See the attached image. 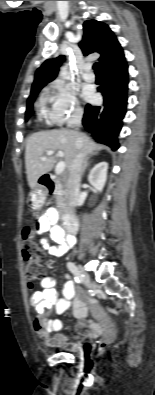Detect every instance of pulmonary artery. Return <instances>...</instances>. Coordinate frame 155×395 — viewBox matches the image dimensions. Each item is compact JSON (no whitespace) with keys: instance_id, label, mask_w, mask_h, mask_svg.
Instances as JSON below:
<instances>
[{"instance_id":"obj_1","label":"pulmonary artery","mask_w":155,"mask_h":395,"mask_svg":"<svg viewBox=\"0 0 155 395\" xmlns=\"http://www.w3.org/2000/svg\"><path fill=\"white\" fill-rule=\"evenodd\" d=\"M83 78L87 82H93L95 80V75L92 72H90L89 66L86 67V71L83 74Z\"/></svg>"}]
</instances>
